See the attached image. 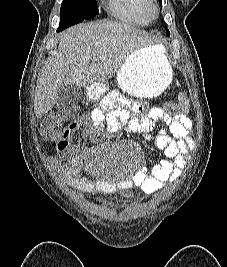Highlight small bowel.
<instances>
[{"mask_svg":"<svg viewBox=\"0 0 227 267\" xmlns=\"http://www.w3.org/2000/svg\"><path fill=\"white\" fill-rule=\"evenodd\" d=\"M119 103H123L120 96L111 93L98 108L69 124L63 131L64 142L57 145V154L50 158L65 182L81 192L111 194L115 188L112 183L90 179L84 174L86 153L79 144H72V137L80 128H84L85 137L96 141L105 128L112 131L124 124L128 129L147 136L155 147L164 151L166 159L150 173L144 167L138 169L133 178L118 182L120 189L135 186L148 193L160 190L182 174L194 150L195 145L189 137V128L183 116H171L162 108H148L140 103L124 102L126 109H122L118 108Z\"/></svg>","mask_w":227,"mask_h":267,"instance_id":"obj_1","label":"small bowel"}]
</instances>
